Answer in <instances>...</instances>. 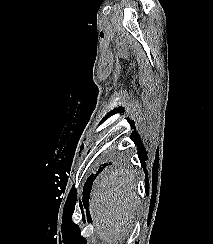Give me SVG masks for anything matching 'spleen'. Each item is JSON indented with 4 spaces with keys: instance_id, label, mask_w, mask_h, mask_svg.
I'll return each instance as SVG.
<instances>
[{
    "instance_id": "3e777b00",
    "label": "spleen",
    "mask_w": 213,
    "mask_h": 244,
    "mask_svg": "<svg viewBox=\"0 0 213 244\" xmlns=\"http://www.w3.org/2000/svg\"><path fill=\"white\" fill-rule=\"evenodd\" d=\"M138 203L137 186L129 172L103 173L90 202L96 236L105 244H119L132 227Z\"/></svg>"
}]
</instances>
